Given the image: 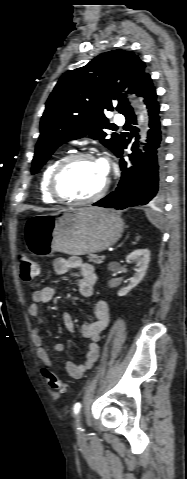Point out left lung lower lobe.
Masks as SVG:
<instances>
[{
    "label": "left lung lower lobe",
    "mask_w": 187,
    "mask_h": 479,
    "mask_svg": "<svg viewBox=\"0 0 187 479\" xmlns=\"http://www.w3.org/2000/svg\"><path fill=\"white\" fill-rule=\"evenodd\" d=\"M139 96L143 97L149 113V127L145 153L137 154L138 128L133 109L129 107L123 114L126 117L124 129L130 131L128 142L132 145L133 154L130 156L132 165L128 166L123 158L120 160L122 170L121 180L116 190L105 198L93 204L94 206L125 209L133 206L156 205L164 195V151L163 138L161 135L160 106L152 80L145 78L139 90ZM125 142L122 144L116 156L121 157Z\"/></svg>",
    "instance_id": "obj_1"
}]
</instances>
